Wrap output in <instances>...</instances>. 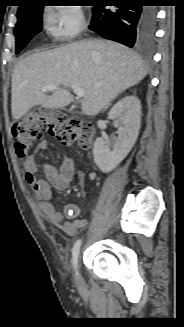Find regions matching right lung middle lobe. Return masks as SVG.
I'll return each mask as SVG.
<instances>
[{
  "label": "right lung middle lobe",
  "mask_w": 184,
  "mask_h": 327,
  "mask_svg": "<svg viewBox=\"0 0 184 327\" xmlns=\"http://www.w3.org/2000/svg\"><path fill=\"white\" fill-rule=\"evenodd\" d=\"M43 7L37 4L17 12V24L14 30L16 53H19L31 38L42 30Z\"/></svg>",
  "instance_id": "dd1d6c3e"
}]
</instances>
